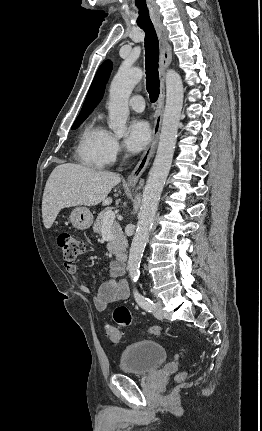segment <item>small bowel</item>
I'll use <instances>...</instances> for the list:
<instances>
[{
    "label": "small bowel",
    "instance_id": "small-bowel-1",
    "mask_svg": "<svg viewBox=\"0 0 262 431\" xmlns=\"http://www.w3.org/2000/svg\"><path fill=\"white\" fill-rule=\"evenodd\" d=\"M65 268L72 276L79 290L84 294H90V289L78 277L76 266L74 264H66ZM109 268L110 278L99 286L97 294L94 297V305L99 311H104L110 304L125 300L129 296L127 284L119 280L125 274V264L120 263L118 260H113Z\"/></svg>",
    "mask_w": 262,
    "mask_h": 431
}]
</instances>
